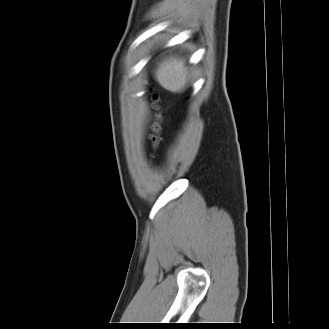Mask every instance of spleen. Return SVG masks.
I'll use <instances>...</instances> for the list:
<instances>
[{"label": "spleen", "instance_id": "3e777b00", "mask_svg": "<svg viewBox=\"0 0 329 329\" xmlns=\"http://www.w3.org/2000/svg\"><path fill=\"white\" fill-rule=\"evenodd\" d=\"M155 78L166 90L179 93L184 90L189 81V71L181 58L164 59L155 71Z\"/></svg>", "mask_w": 329, "mask_h": 329}]
</instances>
